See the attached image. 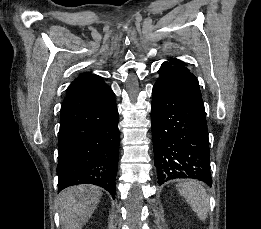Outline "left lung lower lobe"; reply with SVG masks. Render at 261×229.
Returning a JSON list of instances; mask_svg holds the SVG:
<instances>
[{
	"label": "left lung lower lobe",
	"instance_id": "1",
	"mask_svg": "<svg viewBox=\"0 0 261 229\" xmlns=\"http://www.w3.org/2000/svg\"><path fill=\"white\" fill-rule=\"evenodd\" d=\"M152 92L151 120L159 180L194 178L212 184L208 129L198 80L164 62Z\"/></svg>",
	"mask_w": 261,
	"mask_h": 229
}]
</instances>
